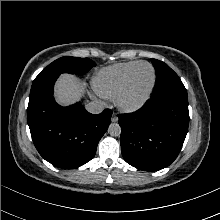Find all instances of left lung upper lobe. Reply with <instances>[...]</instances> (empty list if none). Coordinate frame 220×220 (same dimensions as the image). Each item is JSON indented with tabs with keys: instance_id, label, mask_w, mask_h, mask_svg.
I'll return each mask as SVG.
<instances>
[{
	"instance_id": "1",
	"label": "left lung upper lobe",
	"mask_w": 220,
	"mask_h": 220,
	"mask_svg": "<svg viewBox=\"0 0 220 220\" xmlns=\"http://www.w3.org/2000/svg\"><path fill=\"white\" fill-rule=\"evenodd\" d=\"M155 71L156 82L151 97H172L188 102L187 91L178 75L164 62L151 59Z\"/></svg>"
}]
</instances>
